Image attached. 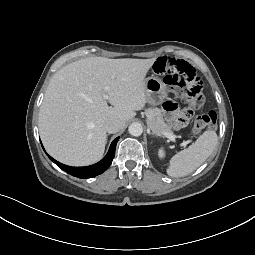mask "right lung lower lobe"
I'll return each mask as SVG.
<instances>
[{
	"label": "right lung lower lobe",
	"instance_id": "right-lung-lower-lobe-1",
	"mask_svg": "<svg viewBox=\"0 0 255 255\" xmlns=\"http://www.w3.org/2000/svg\"><path fill=\"white\" fill-rule=\"evenodd\" d=\"M119 137H117L111 144L110 149L107 153V155L98 163L87 166V167H71L64 164H61L60 162H57L55 159H53L51 156L48 155L50 160H52L59 168L66 171L72 176L78 177V178H91L95 177L101 173H103L112 163V160L115 156V148L116 144L118 142ZM43 147V146H42Z\"/></svg>",
	"mask_w": 255,
	"mask_h": 255
}]
</instances>
